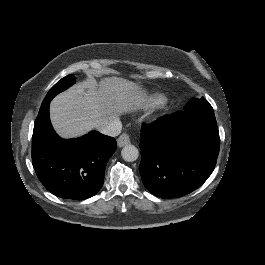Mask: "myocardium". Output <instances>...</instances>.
<instances>
[{
  "label": "myocardium",
  "mask_w": 265,
  "mask_h": 265,
  "mask_svg": "<svg viewBox=\"0 0 265 265\" xmlns=\"http://www.w3.org/2000/svg\"><path fill=\"white\" fill-rule=\"evenodd\" d=\"M166 105V98L163 96H159L154 101L155 108H162Z\"/></svg>",
  "instance_id": "myocardium-1"
}]
</instances>
